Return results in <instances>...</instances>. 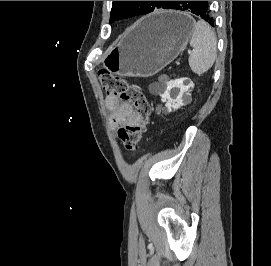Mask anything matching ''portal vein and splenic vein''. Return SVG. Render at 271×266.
<instances>
[{"label": "portal vein and splenic vein", "mask_w": 271, "mask_h": 266, "mask_svg": "<svg viewBox=\"0 0 271 266\" xmlns=\"http://www.w3.org/2000/svg\"><path fill=\"white\" fill-rule=\"evenodd\" d=\"M188 52H189V54H191V53H192V51H190V50H189Z\"/></svg>", "instance_id": "obj_1"}]
</instances>
